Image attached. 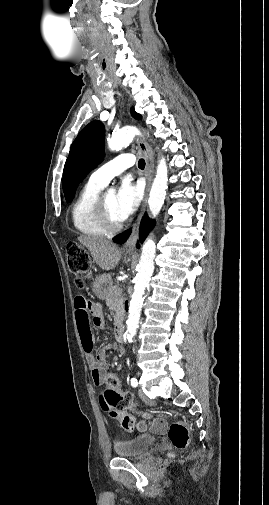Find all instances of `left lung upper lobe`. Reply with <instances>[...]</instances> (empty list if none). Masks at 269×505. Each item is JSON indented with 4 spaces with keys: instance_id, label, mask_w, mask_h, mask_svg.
I'll return each instance as SVG.
<instances>
[{
    "instance_id": "left-lung-upper-lobe-1",
    "label": "left lung upper lobe",
    "mask_w": 269,
    "mask_h": 505,
    "mask_svg": "<svg viewBox=\"0 0 269 505\" xmlns=\"http://www.w3.org/2000/svg\"><path fill=\"white\" fill-rule=\"evenodd\" d=\"M132 116H141L131 110ZM105 128L102 122H90L71 145L63 171V190L66 200L71 202L79 183L93 170L104 156Z\"/></svg>"
}]
</instances>
